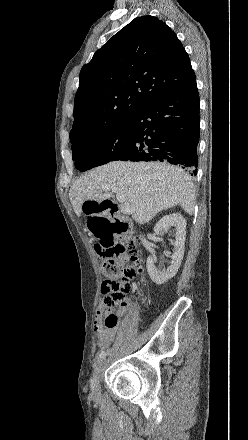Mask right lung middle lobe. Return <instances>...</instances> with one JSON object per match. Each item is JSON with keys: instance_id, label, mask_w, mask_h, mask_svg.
<instances>
[{"instance_id": "1", "label": "right lung middle lobe", "mask_w": 248, "mask_h": 440, "mask_svg": "<svg viewBox=\"0 0 248 440\" xmlns=\"http://www.w3.org/2000/svg\"><path fill=\"white\" fill-rule=\"evenodd\" d=\"M132 131L129 120L97 137L71 142L75 167L83 172L118 160L129 147Z\"/></svg>"}]
</instances>
